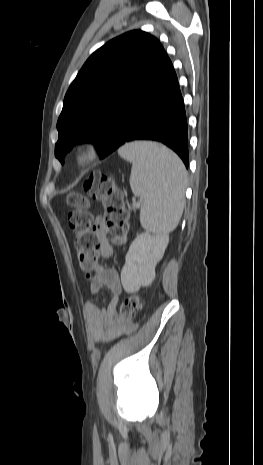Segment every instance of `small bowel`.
I'll return each instance as SVG.
<instances>
[{
    "mask_svg": "<svg viewBox=\"0 0 263 465\" xmlns=\"http://www.w3.org/2000/svg\"><path fill=\"white\" fill-rule=\"evenodd\" d=\"M95 233L98 237V250L101 257H111L113 254V247L108 240V229L102 223L101 218L95 221ZM104 287L109 289L113 294L106 307H100L94 299H90L85 304L84 316L88 320L90 329L96 339L108 342L123 333V329H120V327L110 326L111 318L116 313L118 307L122 286L119 274L115 269L99 265L90 283L91 295L93 297L96 296L100 289ZM141 326V322H133L127 327L129 328V334H135L136 330H139Z\"/></svg>",
    "mask_w": 263,
    "mask_h": 465,
    "instance_id": "small-bowel-1",
    "label": "small bowel"
}]
</instances>
